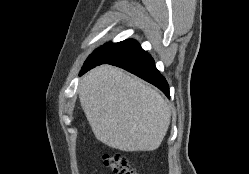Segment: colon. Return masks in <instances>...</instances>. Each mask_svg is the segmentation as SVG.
I'll return each instance as SVG.
<instances>
[{
	"instance_id": "5ec220e1",
	"label": "colon",
	"mask_w": 249,
	"mask_h": 174,
	"mask_svg": "<svg viewBox=\"0 0 249 174\" xmlns=\"http://www.w3.org/2000/svg\"><path fill=\"white\" fill-rule=\"evenodd\" d=\"M103 162L113 174H137L128 159L121 153H106L103 155Z\"/></svg>"
}]
</instances>
